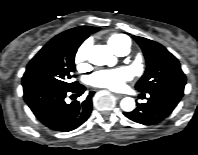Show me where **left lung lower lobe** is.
Here are the masks:
<instances>
[{"instance_id":"0a47b994","label":"left lung lower lobe","mask_w":198,"mask_h":155,"mask_svg":"<svg viewBox=\"0 0 198 155\" xmlns=\"http://www.w3.org/2000/svg\"><path fill=\"white\" fill-rule=\"evenodd\" d=\"M147 103L137 104L132 112H124L129 119L144 125H153L164 120L179 103L184 92L175 89L153 91Z\"/></svg>"}]
</instances>
